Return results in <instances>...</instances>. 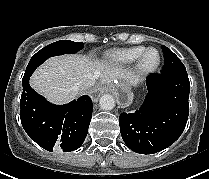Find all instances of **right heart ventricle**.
Listing matches in <instances>:
<instances>
[{
	"label": "right heart ventricle",
	"instance_id": "1",
	"mask_svg": "<svg viewBox=\"0 0 209 179\" xmlns=\"http://www.w3.org/2000/svg\"><path fill=\"white\" fill-rule=\"evenodd\" d=\"M144 49L141 45L114 49L106 53L105 59L115 66H128L136 62Z\"/></svg>",
	"mask_w": 209,
	"mask_h": 179
}]
</instances>
